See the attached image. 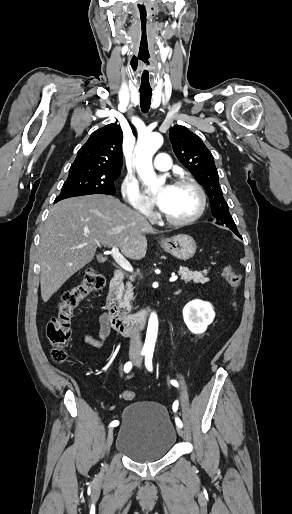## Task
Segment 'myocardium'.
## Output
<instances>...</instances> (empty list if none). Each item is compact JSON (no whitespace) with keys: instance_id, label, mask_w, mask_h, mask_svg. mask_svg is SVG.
I'll use <instances>...</instances> for the list:
<instances>
[{"instance_id":"f54148a6","label":"myocardium","mask_w":292,"mask_h":514,"mask_svg":"<svg viewBox=\"0 0 292 514\" xmlns=\"http://www.w3.org/2000/svg\"><path fill=\"white\" fill-rule=\"evenodd\" d=\"M176 186H179V187L187 186V187L192 188L195 191V193L197 195V199H198V203H197V207H196L195 211L188 217H185L182 219L172 218V217L168 216L166 213H164L163 210H161V216L166 222H168L169 224H172V225L181 226V225L189 224L201 216V214L203 213L204 208H205V193H204L202 187L195 180H193L191 178H179L173 184V187H176Z\"/></svg>"}]
</instances>
